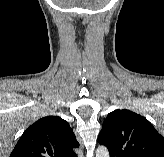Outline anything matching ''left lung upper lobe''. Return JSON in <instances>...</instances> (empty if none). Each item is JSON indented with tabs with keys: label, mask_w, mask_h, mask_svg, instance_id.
<instances>
[{
	"label": "left lung upper lobe",
	"mask_w": 164,
	"mask_h": 157,
	"mask_svg": "<svg viewBox=\"0 0 164 157\" xmlns=\"http://www.w3.org/2000/svg\"><path fill=\"white\" fill-rule=\"evenodd\" d=\"M98 141L113 157H164V138L146 118L126 109L107 115Z\"/></svg>",
	"instance_id": "5c2ea615"
}]
</instances>
